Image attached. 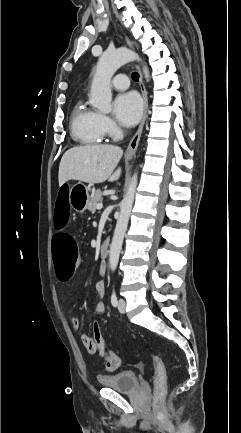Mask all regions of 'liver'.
Masks as SVG:
<instances>
[{"label":"liver","mask_w":241,"mask_h":433,"mask_svg":"<svg viewBox=\"0 0 241 433\" xmlns=\"http://www.w3.org/2000/svg\"><path fill=\"white\" fill-rule=\"evenodd\" d=\"M123 150L114 145H87L74 147L64 153L59 165L58 180L62 186L69 180L89 184L117 181L121 168H115Z\"/></svg>","instance_id":"1"}]
</instances>
